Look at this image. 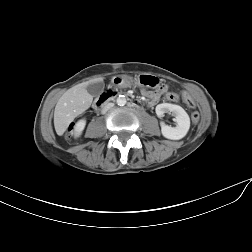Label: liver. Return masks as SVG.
I'll use <instances>...</instances> for the list:
<instances>
[{
    "label": "liver",
    "mask_w": 252,
    "mask_h": 252,
    "mask_svg": "<svg viewBox=\"0 0 252 252\" xmlns=\"http://www.w3.org/2000/svg\"><path fill=\"white\" fill-rule=\"evenodd\" d=\"M103 79H94L80 83L67 90L58 100L54 111V127L56 133L61 136L67 130L73 120L87 110L93 101L86 87L95 82H101Z\"/></svg>",
    "instance_id": "liver-1"
}]
</instances>
